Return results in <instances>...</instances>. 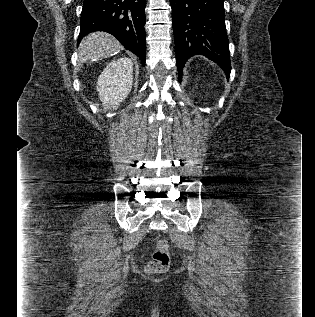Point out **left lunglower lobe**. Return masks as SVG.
Returning a JSON list of instances; mask_svg holds the SVG:
<instances>
[{
  "instance_id": "left-lung-lower-lobe-1",
  "label": "left lung lower lobe",
  "mask_w": 315,
  "mask_h": 317,
  "mask_svg": "<svg viewBox=\"0 0 315 317\" xmlns=\"http://www.w3.org/2000/svg\"><path fill=\"white\" fill-rule=\"evenodd\" d=\"M179 80L186 61L197 54L230 76L229 41L223 0H170Z\"/></svg>"
}]
</instances>
